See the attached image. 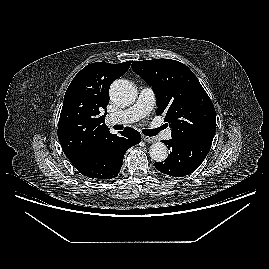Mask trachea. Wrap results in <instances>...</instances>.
<instances>
[{
    "instance_id": "1",
    "label": "trachea",
    "mask_w": 269,
    "mask_h": 269,
    "mask_svg": "<svg viewBox=\"0 0 269 269\" xmlns=\"http://www.w3.org/2000/svg\"><path fill=\"white\" fill-rule=\"evenodd\" d=\"M115 129L116 130H121L120 127L118 125L115 126ZM164 129V126H161L159 128H156V129H144L143 130V133L146 135V136H155L157 135L161 130Z\"/></svg>"
}]
</instances>
